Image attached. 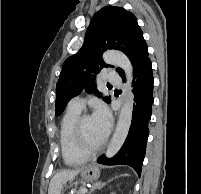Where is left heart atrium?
Instances as JSON below:
<instances>
[{
    "label": "left heart atrium",
    "mask_w": 201,
    "mask_h": 194,
    "mask_svg": "<svg viewBox=\"0 0 201 194\" xmlns=\"http://www.w3.org/2000/svg\"><path fill=\"white\" fill-rule=\"evenodd\" d=\"M91 118L100 137L104 140L108 136L111 128V116L107 107L103 104H98Z\"/></svg>",
    "instance_id": "39dd6f15"
}]
</instances>
